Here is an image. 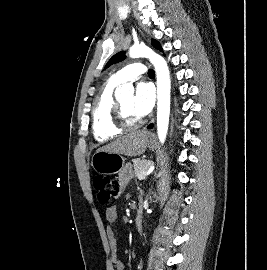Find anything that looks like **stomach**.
I'll use <instances>...</instances> for the list:
<instances>
[{
    "instance_id": "1",
    "label": "stomach",
    "mask_w": 267,
    "mask_h": 270,
    "mask_svg": "<svg viewBox=\"0 0 267 270\" xmlns=\"http://www.w3.org/2000/svg\"><path fill=\"white\" fill-rule=\"evenodd\" d=\"M148 144L151 148L154 147L151 140H148ZM91 165L98 173L116 174L124 167L125 159L119 153L97 151L92 157Z\"/></svg>"
}]
</instances>
